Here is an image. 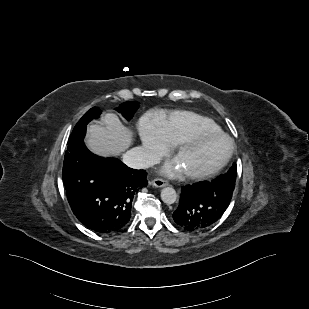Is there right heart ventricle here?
Instances as JSON below:
<instances>
[{
	"mask_svg": "<svg viewBox=\"0 0 309 309\" xmlns=\"http://www.w3.org/2000/svg\"><path fill=\"white\" fill-rule=\"evenodd\" d=\"M155 127L171 145H176L196 131L221 132L210 118L192 111H174L156 122Z\"/></svg>",
	"mask_w": 309,
	"mask_h": 309,
	"instance_id": "e07e8e85",
	"label": "right heart ventricle"
}]
</instances>
